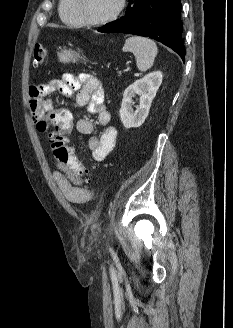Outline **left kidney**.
<instances>
[{
  "label": "left kidney",
  "mask_w": 233,
  "mask_h": 328,
  "mask_svg": "<svg viewBox=\"0 0 233 328\" xmlns=\"http://www.w3.org/2000/svg\"><path fill=\"white\" fill-rule=\"evenodd\" d=\"M162 79V72L154 71L136 80L125 89L119 111L121 122L125 128H137L144 123ZM136 95L139 96V105L136 107V111H133L132 98Z\"/></svg>",
  "instance_id": "1"
}]
</instances>
